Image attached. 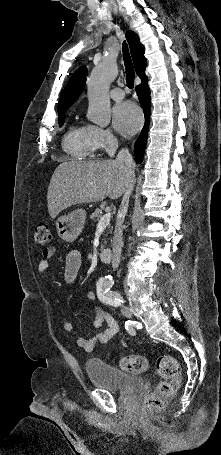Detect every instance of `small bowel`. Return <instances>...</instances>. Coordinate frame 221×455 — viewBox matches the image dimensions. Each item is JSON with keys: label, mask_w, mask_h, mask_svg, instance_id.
Segmentation results:
<instances>
[{"label": "small bowel", "mask_w": 221, "mask_h": 455, "mask_svg": "<svg viewBox=\"0 0 221 455\" xmlns=\"http://www.w3.org/2000/svg\"><path fill=\"white\" fill-rule=\"evenodd\" d=\"M56 249L49 247L44 249L41 253L36 271L39 275H42L47 270L49 260L55 255ZM82 265V257L78 251H71L65 260V271L64 277L68 283H71L77 277ZM89 300L93 301L96 295L93 291H89L87 294ZM103 324H106V329L103 331L96 332L92 337L85 338L79 337L77 339V345L85 350L86 352H92L98 344H105L109 342L119 331V325L115 318L105 311L101 307L95 309V319L93 322L94 329H99ZM74 325L71 322H65L63 324V330L65 332H72Z\"/></svg>", "instance_id": "obj_1"}]
</instances>
